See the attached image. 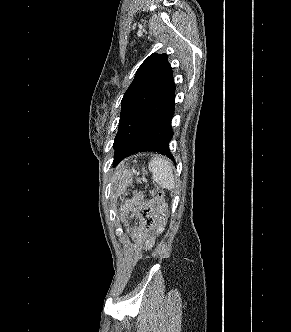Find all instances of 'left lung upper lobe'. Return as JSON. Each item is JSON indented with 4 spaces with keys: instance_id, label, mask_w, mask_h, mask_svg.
Wrapping results in <instances>:
<instances>
[{
    "instance_id": "obj_1",
    "label": "left lung upper lobe",
    "mask_w": 291,
    "mask_h": 332,
    "mask_svg": "<svg viewBox=\"0 0 291 332\" xmlns=\"http://www.w3.org/2000/svg\"><path fill=\"white\" fill-rule=\"evenodd\" d=\"M173 78L166 54H152L138 68L121 102L119 128L114 140L117 152L131 138L147 103L156 97Z\"/></svg>"
}]
</instances>
